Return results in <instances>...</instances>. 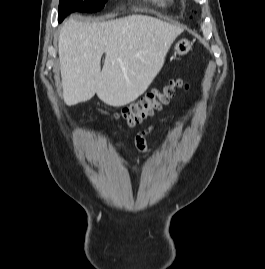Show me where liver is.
<instances>
[{
  "instance_id": "liver-1",
  "label": "liver",
  "mask_w": 265,
  "mask_h": 269,
  "mask_svg": "<svg viewBox=\"0 0 265 269\" xmlns=\"http://www.w3.org/2000/svg\"><path fill=\"white\" fill-rule=\"evenodd\" d=\"M182 32L147 15L93 23L69 18L58 40L64 102L75 105L95 94L113 107L135 101L160 72Z\"/></svg>"
}]
</instances>
